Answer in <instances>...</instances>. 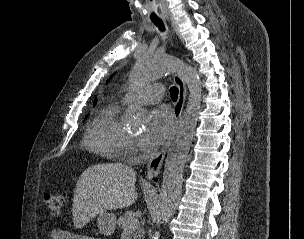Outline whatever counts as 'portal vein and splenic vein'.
I'll use <instances>...</instances> for the list:
<instances>
[{
	"mask_svg": "<svg viewBox=\"0 0 304 239\" xmlns=\"http://www.w3.org/2000/svg\"><path fill=\"white\" fill-rule=\"evenodd\" d=\"M138 225V222L135 220L131 223V225L128 228H125L124 230H133Z\"/></svg>",
	"mask_w": 304,
	"mask_h": 239,
	"instance_id": "1",
	"label": "portal vein and splenic vein"
}]
</instances>
